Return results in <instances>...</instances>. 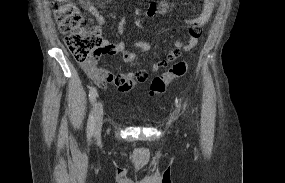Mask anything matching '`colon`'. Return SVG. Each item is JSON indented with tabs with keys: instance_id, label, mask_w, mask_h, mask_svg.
<instances>
[{
	"instance_id": "5ec220e1",
	"label": "colon",
	"mask_w": 285,
	"mask_h": 183,
	"mask_svg": "<svg viewBox=\"0 0 285 183\" xmlns=\"http://www.w3.org/2000/svg\"><path fill=\"white\" fill-rule=\"evenodd\" d=\"M52 10L59 30L67 34L65 43L74 58L82 62L93 59L102 46L100 30L88 27V18L73 0H52ZM189 69V61L174 63L169 71L152 80L151 92L164 94Z\"/></svg>"
}]
</instances>
